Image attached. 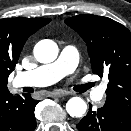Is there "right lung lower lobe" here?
Masks as SVG:
<instances>
[{
  "mask_svg": "<svg viewBox=\"0 0 131 131\" xmlns=\"http://www.w3.org/2000/svg\"><path fill=\"white\" fill-rule=\"evenodd\" d=\"M38 102L30 94L13 96L8 88L0 89V131H34Z\"/></svg>",
  "mask_w": 131,
  "mask_h": 131,
  "instance_id": "1",
  "label": "right lung lower lobe"
}]
</instances>
